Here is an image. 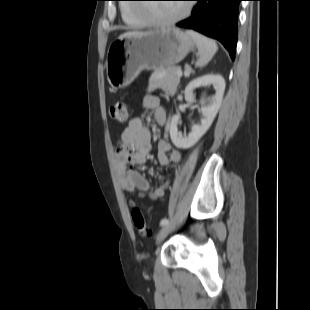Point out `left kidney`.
<instances>
[{
	"mask_svg": "<svg viewBox=\"0 0 310 310\" xmlns=\"http://www.w3.org/2000/svg\"><path fill=\"white\" fill-rule=\"evenodd\" d=\"M213 85L216 93L212 97H202L201 114L203 118L200 124H194L191 132L186 136L178 131L179 115H174L170 126V137L177 148L187 149L192 147L210 128L218 110L221 106L224 91L225 80L220 75L208 74L191 81L185 89V100H193V90L198 87Z\"/></svg>",
	"mask_w": 310,
	"mask_h": 310,
	"instance_id": "obj_1",
	"label": "left kidney"
}]
</instances>
